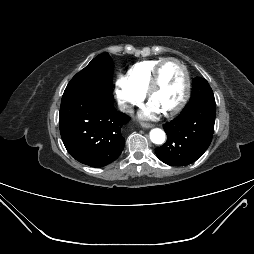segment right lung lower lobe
<instances>
[{
	"mask_svg": "<svg viewBox=\"0 0 254 254\" xmlns=\"http://www.w3.org/2000/svg\"><path fill=\"white\" fill-rule=\"evenodd\" d=\"M129 120L114 108L112 94H63L59 113L63 143L73 158L88 166L103 167L119 157L125 144L121 130Z\"/></svg>",
	"mask_w": 254,
	"mask_h": 254,
	"instance_id": "right-lung-lower-lobe-1",
	"label": "right lung lower lobe"
}]
</instances>
